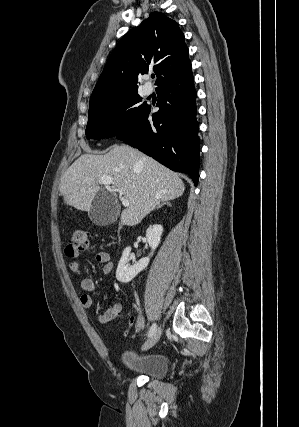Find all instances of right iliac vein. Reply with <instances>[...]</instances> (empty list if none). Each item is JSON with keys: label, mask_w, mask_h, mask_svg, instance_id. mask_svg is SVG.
<instances>
[{"label": "right iliac vein", "mask_w": 299, "mask_h": 427, "mask_svg": "<svg viewBox=\"0 0 299 427\" xmlns=\"http://www.w3.org/2000/svg\"><path fill=\"white\" fill-rule=\"evenodd\" d=\"M161 333H162L161 328H158L155 331V333L152 336H150V338L143 344L142 351H146L152 348L160 339Z\"/></svg>", "instance_id": "right-iliac-vein-1"}]
</instances>
